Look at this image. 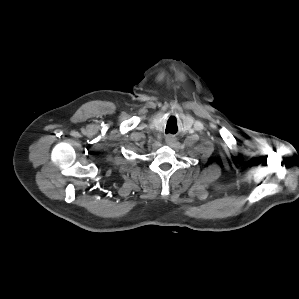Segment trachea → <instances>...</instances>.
<instances>
[{
  "mask_svg": "<svg viewBox=\"0 0 299 299\" xmlns=\"http://www.w3.org/2000/svg\"><path fill=\"white\" fill-rule=\"evenodd\" d=\"M173 130H174V128L171 129V128H170V124H168L167 127H166V132H167V133H168V132H172Z\"/></svg>",
  "mask_w": 299,
  "mask_h": 299,
  "instance_id": "1",
  "label": "trachea"
}]
</instances>
